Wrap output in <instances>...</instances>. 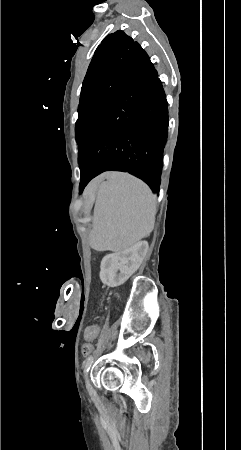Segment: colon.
<instances>
[{
  "mask_svg": "<svg viewBox=\"0 0 241 450\" xmlns=\"http://www.w3.org/2000/svg\"><path fill=\"white\" fill-rule=\"evenodd\" d=\"M100 328V323L98 321H93L91 324L86 325L85 335L87 337H92L94 333ZM94 348L91 345H87L82 348V353L85 356L90 355L93 352Z\"/></svg>",
  "mask_w": 241,
  "mask_h": 450,
  "instance_id": "1",
  "label": "colon"
}]
</instances>
